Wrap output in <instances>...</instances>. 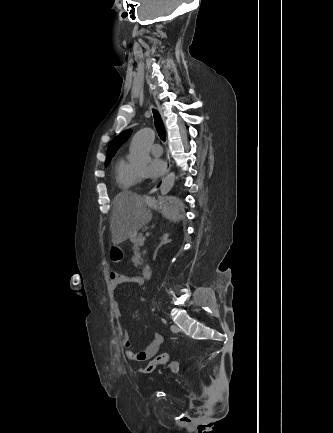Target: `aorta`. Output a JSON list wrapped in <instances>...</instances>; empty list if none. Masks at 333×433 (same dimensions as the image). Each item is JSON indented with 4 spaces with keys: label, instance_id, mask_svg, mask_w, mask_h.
<instances>
[{
    "label": "aorta",
    "instance_id": "obj_1",
    "mask_svg": "<svg viewBox=\"0 0 333 433\" xmlns=\"http://www.w3.org/2000/svg\"><path fill=\"white\" fill-rule=\"evenodd\" d=\"M155 133L150 128L139 130L133 137L129 152L131 162L138 167H146L150 161V146L154 141ZM175 174H168L162 181L160 193L166 195L174 185Z\"/></svg>",
    "mask_w": 333,
    "mask_h": 433
}]
</instances>
